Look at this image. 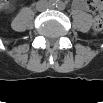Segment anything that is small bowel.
<instances>
[{"label": "small bowel", "instance_id": "obj_1", "mask_svg": "<svg viewBox=\"0 0 103 103\" xmlns=\"http://www.w3.org/2000/svg\"><path fill=\"white\" fill-rule=\"evenodd\" d=\"M4 5L6 6L7 3H5ZM78 6H79L80 8L88 9V10H89V4H88L87 2H84V1L79 2V3H78Z\"/></svg>", "mask_w": 103, "mask_h": 103}]
</instances>
